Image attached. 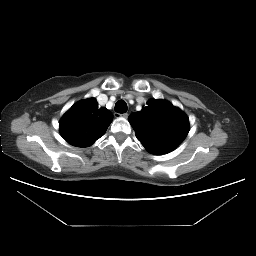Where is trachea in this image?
Listing matches in <instances>:
<instances>
[{"mask_svg":"<svg viewBox=\"0 0 256 256\" xmlns=\"http://www.w3.org/2000/svg\"><path fill=\"white\" fill-rule=\"evenodd\" d=\"M128 110L127 104L124 100H119L116 104H115V111L117 113L123 114L126 113Z\"/></svg>","mask_w":256,"mask_h":256,"instance_id":"1","label":"trachea"}]
</instances>
